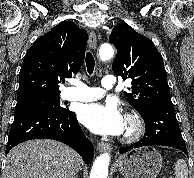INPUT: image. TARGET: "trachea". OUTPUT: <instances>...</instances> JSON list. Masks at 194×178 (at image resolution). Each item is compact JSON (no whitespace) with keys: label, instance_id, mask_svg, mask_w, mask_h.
<instances>
[{"label":"trachea","instance_id":"1","mask_svg":"<svg viewBox=\"0 0 194 178\" xmlns=\"http://www.w3.org/2000/svg\"><path fill=\"white\" fill-rule=\"evenodd\" d=\"M85 61L88 73L90 75L93 74L95 68V60L91 52H87Z\"/></svg>","mask_w":194,"mask_h":178}]
</instances>
